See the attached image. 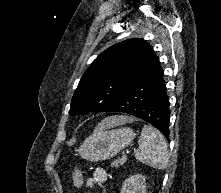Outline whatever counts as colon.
<instances>
[{"instance_id":"5ec220e1","label":"colon","mask_w":221,"mask_h":193,"mask_svg":"<svg viewBox=\"0 0 221 193\" xmlns=\"http://www.w3.org/2000/svg\"><path fill=\"white\" fill-rule=\"evenodd\" d=\"M83 183L82 171L79 167L74 170L73 173V184L76 188H80Z\"/></svg>"}]
</instances>
